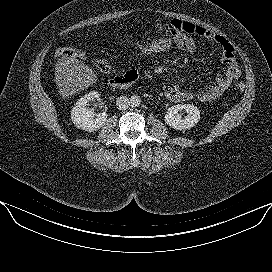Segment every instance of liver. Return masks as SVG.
<instances>
[{
  "mask_svg": "<svg viewBox=\"0 0 272 272\" xmlns=\"http://www.w3.org/2000/svg\"><path fill=\"white\" fill-rule=\"evenodd\" d=\"M55 70V82L63 98L75 95L97 80L96 74L88 65L69 57L59 59Z\"/></svg>",
  "mask_w": 272,
  "mask_h": 272,
  "instance_id": "6515ba94",
  "label": "liver"
}]
</instances>
